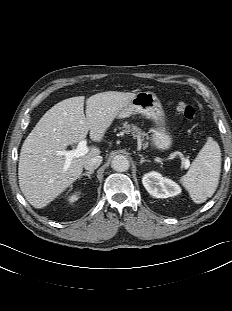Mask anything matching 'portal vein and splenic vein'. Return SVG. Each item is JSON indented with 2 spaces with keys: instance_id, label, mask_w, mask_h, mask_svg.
Segmentation results:
<instances>
[{
  "instance_id": "obj_1",
  "label": "portal vein and splenic vein",
  "mask_w": 232,
  "mask_h": 311,
  "mask_svg": "<svg viewBox=\"0 0 232 311\" xmlns=\"http://www.w3.org/2000/svg\"><path fill=\"white\" fill-rule=\"evenodd\" d=\"M88 151H89V148L87 146V141L85 139L81 140L78 143L76 149L69 150V151H67V150L59 151V155H62L66 158L65 165L63 167V171L64 172L67 171V169L70 167V164H71V161L73 158H78V157L84 156L85 154L88 153Z\"/></svg>"
}]
</instances>
